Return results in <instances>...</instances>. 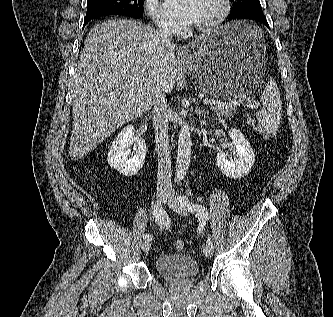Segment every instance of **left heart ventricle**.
<instances>
[{
	"label": "left heart ventricle",
	"instance_id": "b2bd125f",
	"mask_svg": "<svg viewBox=\"0 0 333 317\" xmlns=\"http://www.w3.org/2000/svg\"><path fill=\"white\" fill-rule=\"evenodd\" d=\"M215 0H199L198 17L194 25H202L207 22L216 12Z\"/></svg>",
	"mask_w": 333,
	"mask_h": 317
}]
</instances>
